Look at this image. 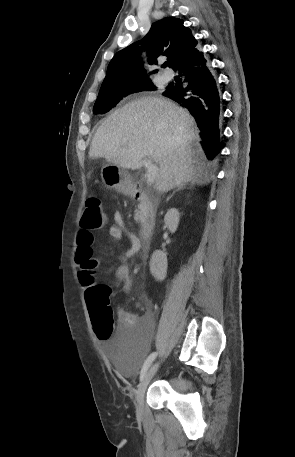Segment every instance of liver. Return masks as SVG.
I'll list each match as a JSON object with an SVG mask.
<instances>
[{
    "mask_svg": "<svg viewBox=\"0 0 295 457\" xmlns=\"http://www.w3.org/2000/svg\"><path fill=\"white\" fill-rule=\"evenodd\" d=\"M199 130L189 112L161 97H142L113 112L98 128L89 150L124 169L144 159L159 165L155 188L167 192L186 183L210 181Z\"/></svg>",
    "mask_w": 295,
    "mask_h": 457,
    "instance_id": "liver-1",
    "label": "liver"
}]
</instances>
